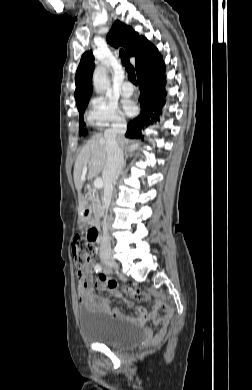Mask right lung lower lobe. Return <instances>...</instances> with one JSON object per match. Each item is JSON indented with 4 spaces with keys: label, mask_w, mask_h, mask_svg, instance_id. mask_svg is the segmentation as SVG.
Here are the masks:
<instances>
[{
    "label": "right lung lower lobe",
    "mask_w": 252,
    "mask_h": 390,
    "mask_svg": "<svg viewBox=\"0 0 252 390\" xmlns=\"http://www.w3.org/2000/svg\"><path fill=\"white\" fill-rule=\"evenodd\" d=\"M165 69L164 65L161 67H154L145 70L138 76L140 95V114L132 119L125 134L128 138H142L143 130L150 124L159 121L161 108L163 106V98L166 92L163 90L165 84Z\"/></svg>",
    "instance_id": "98d812e1"
}]
</instances>
